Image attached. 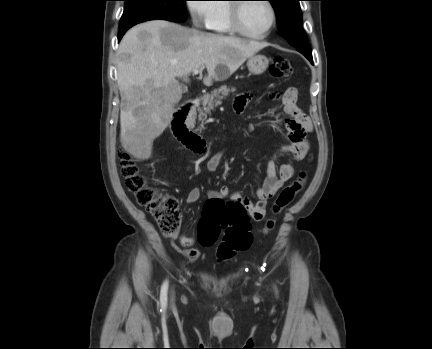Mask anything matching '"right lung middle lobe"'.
<instances>
[{"instance_id":"obj_1","label":"right lung middle lobe","mask_w":432,"mask_h":349,"mask_svg":"<svg viewBox=\"0 0 432 349\" xmlns=\"http://www.w3.org/2000/svg\"><path fill=\"white\" fill-rule=\"evenodd\" d=\"M124 12L120 20V28L133 26L137 23L164 19L172 22L186 20L187 0H124Z\"/></svg>"}]
</instances>
